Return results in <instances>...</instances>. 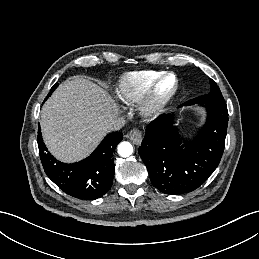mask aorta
Returning a JSON list of instances; mask_svg holds the SVG:
<instances>
[{
  "label": "aorta",
  "instance_id": "aorta-1",
  "mask_svg": "<svg viewBox=\"0 0 259 259\" xmlns=\"http://www.w3.org/2000/svg\"><path fill=\"white\" fill-rule=\"evenodd\" d=\"M118 154L121 156V157H129L130 155H132L133 153V147H132V144L130 142H121L119 145H118Z\"/></svg>",
  "mask_w": 259,
  "mask_h": 259
}]
</instances>
